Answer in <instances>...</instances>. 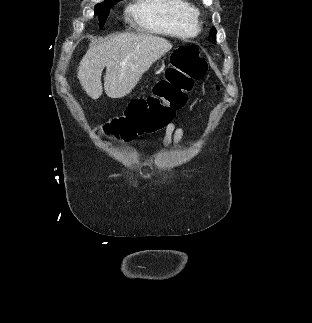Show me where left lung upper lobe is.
I'll use <instances>...</instances> for the list:
<instances>
[{
	"instance_id": "left-lung-upper-lobe-1",
	"label": "left lung upper lobe",
	"mask_w": 312,
	"mask_h": 323,
	"mask_svg": "<svg viewBox=\"0 0 312 323\" xmlns=\"http://www.w3.org/2000/svg\"><path fill=\"white\" fill-rule=\"evenodd\" d=\"M211 33H212V38L215 40L216 39V29L212 28Z\"/></svg>"
}]
</instances>
